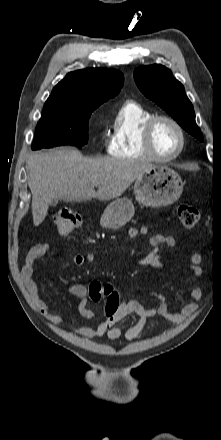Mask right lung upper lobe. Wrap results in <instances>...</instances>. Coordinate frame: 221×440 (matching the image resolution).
Returning a JSON list of instances; mask_svg holds the SVG:
<instances>
[{
    "label": "right lung upper lobe",
    "instance_id": "right-lung-upper-lobe-1",
    "mask_svg": "<svg viewBox=\"0 0 221 440\" xmlns=\"http://www.w3.org/2000/svg\"><path fill=\"white\" fill-rule=\"evenodd\" d=\"M124 83L115 69L88 68L70 72L52 90L46 103L100 105L115 97Z\"/></svg>",
    "mask_w": 221,
    "mask_h": 440
}]
</instances>
